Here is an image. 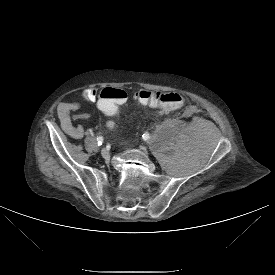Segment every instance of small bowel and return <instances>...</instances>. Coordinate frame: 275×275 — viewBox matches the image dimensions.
<instances>
[{
  "label": "small bowel",
  "instance_id": "c3829d8e",
  "mask_svg": "<svg viewBox=\"0 0 275 275\" xmlns=\"http://www.w3.org/2000/svg\"><path fill=\"white\" fill-rule=\"evenodd\" d=\"M102 92V91H101ZM99 91L95 88H87L83 90L82 97L89 102L98 101L100 97ZM60 122L64 131L72 138L79 139L84 135V129L72 122L69 116L79 117L83 113V105L79 101H63L59 105Z\"/></svg>",
  "mask_w": 275,
  "mask_h": 275
}]
</instances>
